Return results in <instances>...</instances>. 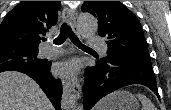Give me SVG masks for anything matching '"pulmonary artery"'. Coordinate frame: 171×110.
Listing matches in <instances>:
<instances>
[{
    "instance_id": "obj_1",
    "label": "pulmonary artery",
    "mask_w": 171,
    "mask_h": 110,
    "mask_svg": "<svg viewBox=\"0 0 171 110\" xmlns=\"http://www.w3.org/2000/svg\"><path fill=\"white\" fill-rule=\"evenodd\" d=\"M89 43L91 46L98 48L103 55L107 54L108 48L102 39L90 36ZM59 53L60 49L54 48L50 42H47V48L42 51V54L46 57L54 56Z\"/></svg>"
}]
</instances>
